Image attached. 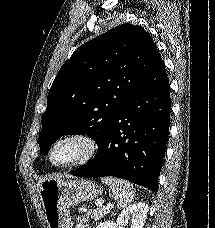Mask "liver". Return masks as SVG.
Segmentation results:
<instances>
[{
  "instance_id": "obj_1",
  "label": "liver",
  "mask_w": 215,
  "mask_h": 228,
  "mask_svg": "<svg viewBox=\"0 0 215 228\" xmlns=\"http://www.w3.org/2000/svg\"><path fill=\"white\" fill-rule=\"evenodd\" d=\"M42 182H45V180H40V182H38V184H37V188H38L39 192H40V186H41Z\"/></svg>"
}]
</instances>
